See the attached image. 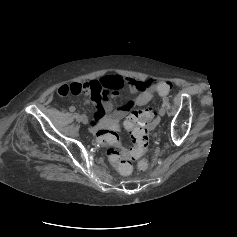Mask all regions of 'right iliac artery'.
<instances>
[{"label":"right iliac artery","mask_w":237,"mask_h":237,"mask_svg":"<svg viewBox=\"0 0 237 237\" xmlns=\"http://www.w3.org/2000/svg\"><path fill=\"white\" fill-rule=\"evenodd\" d=\"M69 110H70L71 112H74V111H75V107H74V106H71V107H69Z\"/></svg>","instance_id":"right-iliac-artery-1"}]
</instances>
